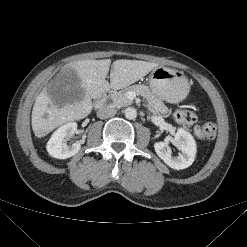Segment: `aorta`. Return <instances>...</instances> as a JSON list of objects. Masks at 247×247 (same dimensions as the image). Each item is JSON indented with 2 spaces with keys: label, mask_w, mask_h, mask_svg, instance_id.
Masks as SVG:
<instances>
[{
  "label": "aorta",
  "mask_w": 247,
  "mask_h": 247,
  "mask_svg": "<svg viewBox=\"0 0 247 247\" xmlns=\"http://www.w3.org/2000/svg\"><path fill=\"white\" fill-rule=\"evenodd\" d=\"M124 115L127 119H135L137 117V110L133 107H128L125 109Z\"/></svg>",
  "instance_id": "1"
}]
</instances>
